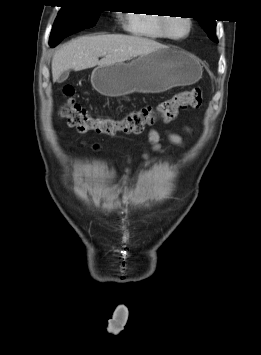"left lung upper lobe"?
Listing matches in <instances>:
<instances>
[{
	"label": "left lung upper lobe",
	"mask_w": 261,
	"mask_h": 355,
	"mask_svg": "<svg viewBox=\"0 0 261 355\" xmlns=\"http://www.w3.org/2000/svg\"><path fill=\"white\" fill-rule=\"evenodd\" d=\"M198 20L204 31L208 34V37L214 42H217L215 20Z\"/></svg>",
	"instance_id": "left-lung-upper-lobe-1"
}]
</instances>
